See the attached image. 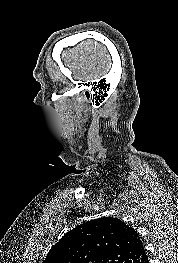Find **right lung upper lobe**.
Listing matches in <instances>:
<instances>
[{"label":"right lung upper lobe","instance_id":"cb5924a9","mask_svg":"<svg viewBox=\"0 0 178 263\" xmlns=\"http://www.w3.org/2000/svg\"><path fill=\"white\" fill-rule=\"evenodd\" d=\"M148 256L135 229L118 218L87 221L67 232L43 263H146Z\"/></svg>","mask_w":178,"mask_h":263}]
</instances>
